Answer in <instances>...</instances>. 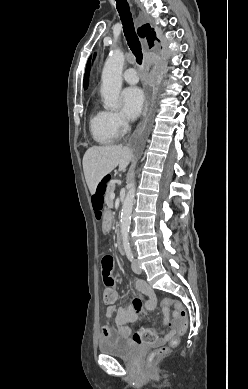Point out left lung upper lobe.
<instances>
[{
    "label": "left lung upper lobe",
    "instance_id": "1",
    "mask_svg": "<svg viewBox=\"0 0 248 389\" xmlns=\"http://www.w3.org/2000/svg\"><path fill=\"white\" fill-rule=\"evenodd\" d=\"M90 59L88 60V63H87V66H86V72H85V75H84V88H87L88 86V77H89V69H90Z\"/></svg>",
    "mask_w": 248,
    "mask_h": 389
}]
</instances>
